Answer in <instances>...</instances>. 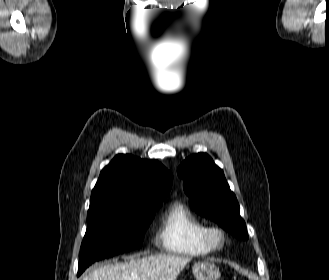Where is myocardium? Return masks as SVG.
<instances>
[{
  "instance_id": "myocardium-1",
  "label": "myocardium",
  "mask_w": 329,
  "mask_h": 280,
  "mask_svg": "<svg viewBox=\"0 0 329 280\" xmlns=\"http://www.w3.org/2000/svg\"><path fill=\"white\" fill-rule=\"evenodd\" d=\"M203 238L212 250H220L225 245L226 234L219 226H206L203 232Z\"/></svg>"
}]
</instances>
